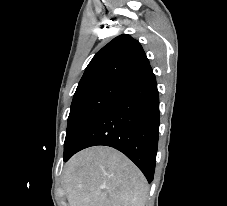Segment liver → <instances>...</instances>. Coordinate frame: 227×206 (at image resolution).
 Wrapping results in <instances>:
<instances>
[{"instance_id":"liver-1","label":"liver","mask_w":227,"mask_h":206,"mask_svg":"<svg viewBox=\"0 0 227 206\" xmlns=\"http://www.w3.org/2000/svg\"><path fill=\"white\" fill-rule=\"evenodd\" d=\"M69 206H145L149 186L122 153L96 146L75 154L64 168Z\"/></svg>"}]
</instances>
